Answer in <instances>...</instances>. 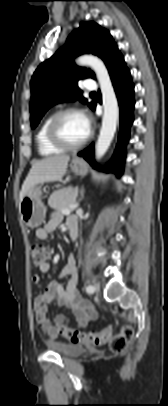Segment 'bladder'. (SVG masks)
Segmentation results:
<instances>
[{
  "instance_id": "obj_1",
  "label": "bladder",
  "mask_w": 168,
  "mask_h": 406,
  "mask_svg": "<svg viewBox=\"0 0 168 406\" xmlns=\"http://www.w3.org/2000/svg\"><path fill=\"white\" fill-rule=\"evenodd\" d=\"M53 349L62 357L72 358L79 356L83 353L84 348L80 345L75 344H65L53 346Z\"/></svg>"
}]
</instances>
